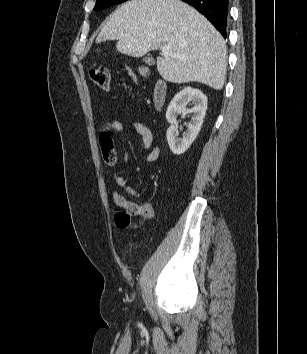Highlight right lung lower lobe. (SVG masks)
<instances>
[{"mask_svg":"<svg viewBox=\"0 0 307 354\" xmlns=\"http://www.w3.org/2000/svg\"><path fill=\"white\" fill-rule=\"evenodd\" d=\"M202 13L222 34L227 36L229 0H182Z\"/></svg>","mask_w":307,"mask_h":354,"instance_id":"98d812e1","label":"right lung lower lobe"}]
</instances>
